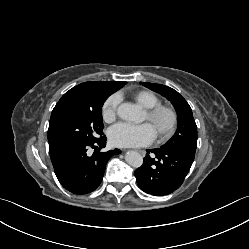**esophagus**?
Returning <instances> with one entry per match:
<instances>
[{
	"instance_id": "esophagus-1",
	"label": "esophagus",
	"mask_w": 249,
	"mask_h": 249,
	"mask_svg": "<svg viewBox=\"0 0 249 249\" xmlns=\"http://www.w3.org/2000/svg\"><path fill=\"white\" fill-rule=\"evenodd\" d=\"M138 152H139L140 154H142V155H144V153H145V152L142 151V150H139Z\"/></svg>"
}]
</instances>
